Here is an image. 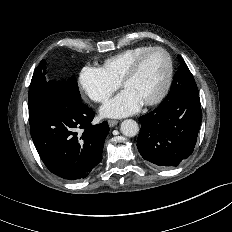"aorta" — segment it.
<instances>
[{"label":"aorta","mask_w":232,"mask_h":232,"mask_svg":"<svg viewBox=\"0 0 232 232\" xmlns=\"http://www.w3.org/2000/svg\"><path fill=\"white\" fill-rule=\"evenodd\" d=\"M121 133L127 137H134L139 131V127L136 121L132 119L124 120L120 127Z\"/></svg>","instance_id":"1"}]
</instances>
